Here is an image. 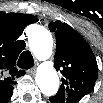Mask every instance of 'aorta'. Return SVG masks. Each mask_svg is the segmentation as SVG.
Returning <instances> with one entry per match:
<instances>
[{
	"label": "aorta",
	"mask_w": 103,
	"mask_h": 103,
	"mask_svg": "<svg viewBox=\"0 0 103 103\" xmlns=\"http://www.w3.org/2000/svg\"><path fill=\"white\" fill-rule=\"evenodd\" d=\"M28 43L35 57L44 61L37 69L36 84L43 94L55 95L59 89V77L53 63L46 62L52 54L53 39L51 33L45 27L35 25L28 35Z\"/></svg>",
	"instance_id": "obj_1"
}]
</instances>
